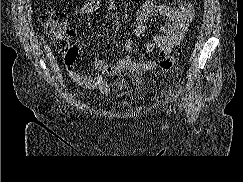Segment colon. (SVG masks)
I'll return each mask as SVG.
<instances>
[{
	"instance_id": "colon-1",
	"label": "colon",
	"mask_w": 243,
	"mask_h": 182,
	"mask_svg": "<svg viewBox=\"0 0 243 182\" xmlns=\"http://www.w3.org/2000/svg\"><path fill=\"white\" fill-rule=\"evenodd\" d=\"M39 21L46 33L51 37L57 50L65 57L73 54V47L70 39L73 32L67 27V15L60 10H45L39 14ZM179 48L176 55L181 54ZM176 55L163 57L159 62V67L163 71L170 70L175 63Z\"/></svg>"
}]
</instances>
